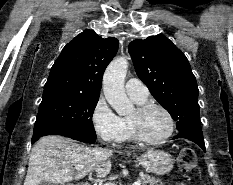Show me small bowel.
Listing matches in <instances>:
<instances>
[{"mask_svg":"<svg viewBox=\"0 0 233 185\" xmlns=\"http://www.w3.org/2000/svg\"><path fill=\"white\" fill-rule=\"evenodd\" d=\"M176 185H185V184H183V183H178V184H176Z\"/></svg>","mask_w":233,"mask_h":185,"instance_id":"1","label":"small bowel"}]
</instances>
